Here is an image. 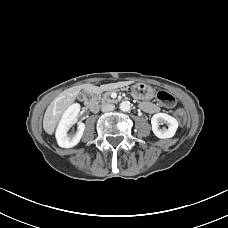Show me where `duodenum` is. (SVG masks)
Returning <instances> with one entry per match:
<instances>
[{"mask_svg":"<svg viewBox=\"0 0 228 228\" xmlns=\"http://www.w3.org/2000/svg\"><path fill=\"white\" fill-rule=\"evenodd\" d=\"M85 104L92 111H96L98 109V102L92 89H87L85 92Z\"/></svg>","mask_w":228,"mask_h":228,"instance_id":"410a0bca","label":"duodenum"}]
</instances>
